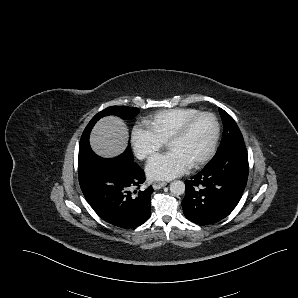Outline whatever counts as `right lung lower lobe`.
I'll use <instances>...</instances> for the list:
<instances>
[{"mask_svg":"<svg viewBox=\"0 0 298 298\" xmlns=\"http://www.w3.org/2000/svg\"><path fill=\"white\" fill-rule=\"evenodd\" d=\"M78 170L86 200L106 222L135 228L150 217L154 190L152 186L137 190L145 175L134 159L125 155L106 159L94 153L86 163L78 164Z\"/></svg>","mask_w":298,"mask_h":298,"instance_id":"98d812e1","label":"right lung lower lobe"}]
</instances>
